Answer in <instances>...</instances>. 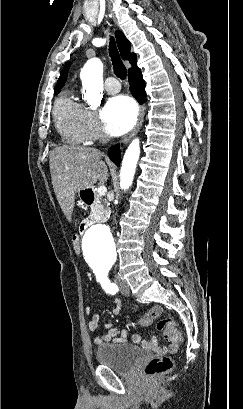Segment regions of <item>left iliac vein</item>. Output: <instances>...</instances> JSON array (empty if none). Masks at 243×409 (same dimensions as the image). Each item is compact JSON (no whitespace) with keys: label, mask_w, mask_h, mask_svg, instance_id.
Segmentation results:
<instances>
[{"label":"left iliac vein","mask_w":243,"mask_h":409,"mask_svg":"<svg viewBox=\"0 0 243 409\" xmlns=\"http://www.w3.org/2000/svg\"><path fill=\"white\" fill-rule=\"evenodd\" d=\"M115 283L118 285L121 293L125 296L129 295V286L127 282L119 276H116Z\"/></svg>","instance_id":"left-iliac-vein-1"}]
</instances>
